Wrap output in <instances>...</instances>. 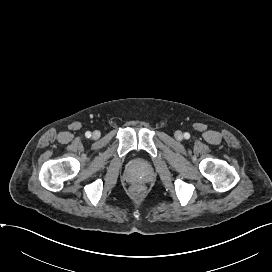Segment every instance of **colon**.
I'll return each instance as SVG.
<instances>
[{"mask_svg": "<svg viewBox=\"0 0 272 272\" xmlns=\"http://www.w3.org/2000/svg\"><path fill=\"white\" fill-rule=\"evenodd\" d=\"M134 192L135 193H140L141 192V188L140 187H138V186H136L135 188H134Z\"/></svg>", "mask_w": 272, "mask_h": 272, "instance_id": "colon-1", "label": "colon"}]
</instances>
